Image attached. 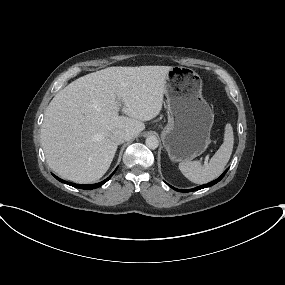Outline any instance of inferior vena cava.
Instances as JSON below:
<instances>
[{
  "label": "inferior vena cava",
  "mask_w": 285,
  "mask_h": 285,
  "mask_svg": "<svg viewBox=\"0 0 285 285\" xmlns=\"http://www.w3.org/2000/svg\"><path fill=\"white\" fill-rule=\"evenodd\" d=\"M111 139L116 143V144H122L125 141L130 139V134L123 131V130H115L111 134Z\"/></svg>",
  "instance_id": "inferior-vena-cava-1"
}]
</instances>
